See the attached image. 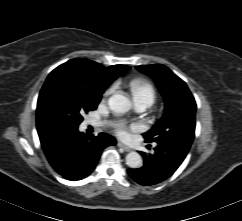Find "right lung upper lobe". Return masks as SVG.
I'll return each instance as SVG.
<instances>
[{
  "label": "right lung upper lobe",
  "mask_w": 242,
  "mask_h": 221,
  "mask_svg": "<svg viewBox=\"0 0 242 221\" xmlns=\"http://www.w3.org/2000/svg\"><path fill=\"white\" fill-rule=\"evenodd\" d=\"M130 67L113 65L104 67L88 59H72L54 69L46 79L40 92L44 93L52 84L61 81L83 89L90 94L101 95L104 90ZM37 107V130L41 132L50 129L41 117Z\"/></svg>",
  "instance_id": "1"
}]
</instances>
